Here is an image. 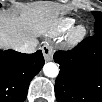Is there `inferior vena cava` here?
Returning <instances> with one entry per match:
<instances>
[{
  "mask_svg": "<svg viewBox=\"0 0 102 102\" xmlns=\"http://www.w3.org/2000/svg\"><path fill=\"white\" fill-rule=\"evenodd\" d=\"M38 44H39L38 40L35 38H32L27 40L24 44H21L20 46H18L16 50L21 53L31 54L36 52Z\"/></svg>",
  "mask_w": 102,
  "mask_h": 102,
  "instance_id": "obj_1",
  "label": "inferior vena cava"
}]
</instances>
